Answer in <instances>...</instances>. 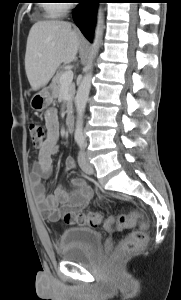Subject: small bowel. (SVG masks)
<instances>
[{"label": "small bowel", "mask_w": 181, "mask_h": 300, "mask_svg": "<svg viewBox=\"0 0 181 300\" xmlns=\"http://www.w3.org/2000/svg\"><path fill=\"white\" fill-rule=\"evenodd\" d=\"M44 118L47 137L36 155L32 185L38 205L47 214L50 221L56 222L67 212L77 213L83 210L93 198V191L83 179L73 178L71 180L72 191H67L63 186L58 185L52 193H46L43 178L51 174L53 156L59 150V119L57 110L49 108L45 112ZM74 166V160L67 158L65 170H71Z\"/></svg>", "instance_id": "c3829d8e"}]
</instances>
